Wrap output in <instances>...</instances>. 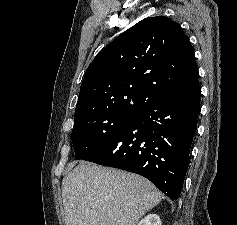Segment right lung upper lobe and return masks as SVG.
Returning <instances> with one entry per match:
<instances>
[{
	"instance_id": "1",
	"label": "right lung upper lobe",
	"mask_w": 237,
	"mask_h": 225,
	"mask_svg": "<svg viewBox=\"0 0 237 225\" xmlns=\"http://www.w3.org/2000/svg\"><path fill=\"white\" fill-rule=\"evenodd\" d=\"M199 84L195 53L182 28L165 16L145 18L103 48L81 84L75 121L136 114L160 97Z\"/></svg>"
}]
</instances>
